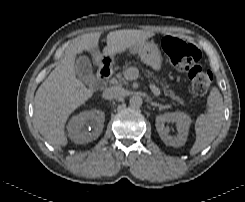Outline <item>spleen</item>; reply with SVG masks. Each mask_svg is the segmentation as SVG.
Returning a JSON list of instances; mask_svg holds the SVG:
<instances>
[{
	"label": "spleen",
	"instance_id": "1",
	"mask_svg": "<svg viewBox=\"0 0 245 202\" xmlns=\"http://www.w3.org/2000/svg\"><path fill=\"white\" fill-rule=\"evenodd\" d=\"M208 113L201 114L195 122L196 141L190 150L195 155L206 148L219 134L223 119V98L217 88H212L207 100Z\"/></svg>",
	"mask_w": 245,
	"mask_h": 202
}]
</instances>
